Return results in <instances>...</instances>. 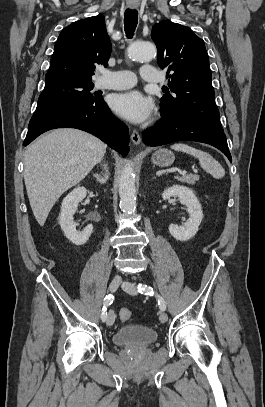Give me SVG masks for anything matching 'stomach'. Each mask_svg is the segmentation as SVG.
Returning a JSON list of instances; mask_svg holds the SVG:
<instances>
[{"label": "stomach", "mask_w": 265, "mask_h": 407, "mask_svg": "<svg viewBox=\"0 0 265 407\" xmlns=\"http://www.w3.org/2000/svg\"><path fill=\"white\" fill-rule=\"evenodd\" d=\"M152 163L159 167H168L174 160V154L168 149L161 148L152 155Z\"/></svg>", "instance_id": "0dacf381"}]
</instances>
